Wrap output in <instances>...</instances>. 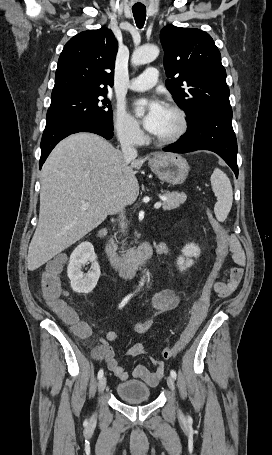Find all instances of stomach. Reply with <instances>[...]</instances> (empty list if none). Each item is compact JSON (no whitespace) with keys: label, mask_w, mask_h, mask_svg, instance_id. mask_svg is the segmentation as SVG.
<instances>
[{"label":"stomach","mask_w":272,"mask_h":455,"mask_svg":"<svg viewBox=\"0 0 272 455\" xmlns=\"http://www.w3.org/2000/svg\"><path fill=\"white\" fill-rule=\"evenodd\" d=\"M149 166L160 179L172 185L182 184L190 170L186 159L174 153L155 155L150 159Z\"/></svg>","instance_id":"stomach-1"}]
</instances>
